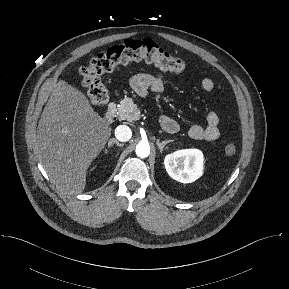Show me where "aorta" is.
Instances as JSON below:
<instances>
[{
  "label": "aorta",
  "instance_id": "762f6f07",
  "mask_svg": "<svg viewBox=\"0 0 289 289\" xmlns=\"http://www.w3.org/2000/svg\"><path fill=\"white\" fill-rule=\"evenodd\" d=\"M136 154L138 157L146 158L150 154V146L147 142H140L136 146Z\"/></svg>",
  "mask_w": 289,
  "mask_h": 289
}]
</instances>
